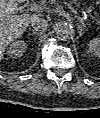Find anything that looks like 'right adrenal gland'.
Returning a JSON list of instances; mask_svg holds the SVG:
<instances>
[{
  "mask_svg": "<svg viewBox=\"0 0 100 118\" xmlns=\"http://www.w3.org/2000/svg\"><path fill=\"white\" fill-rule=\"evenodd\" d=\"M32 33L35 34L36 36H39V35L42 34L41 32H37V31H35L34 29H32Z\"/></svg>",
  "mask_w": 100,
  "mask_h": 118,
  "instance_id": "right-adrenal-gland-1",
  "label": "right adrenal gland"
}]
</instances>
